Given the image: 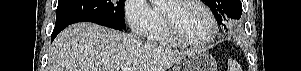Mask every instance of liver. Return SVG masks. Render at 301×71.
Returning <instances> with one entry per match:
<instances>
[{"label":"liver","mask_w":301,"mask_h":71,"mask_svg":"<svg viewBox=\"0 0 301 71\" xmlns=\"http://www.w3.org/2000/svg\"><path fill=\"white\" fill-rule=\"evenodd\" d=\"M188 54L94 23H76L54 40L46 71H166Z\"/></svg>","instance_id":"1"}]
</instances>
